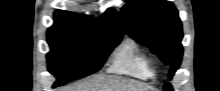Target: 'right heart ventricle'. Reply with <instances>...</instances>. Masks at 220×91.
<instances>
[{"instance_id":"obj_1","label":"right heart ventricle","mask_w":220,"mask_h":91,"mask_svg":"<svg viewBox=\"0 0 220 91\" xmlns=\"http://www.w3.org/2000/svg\"><path fill=\"white\" fill-rule=\"evenodd\" d=\"M109 70L141 80L155 75L151 57L133 40L125 41L112 55Z\"/></svg>"}]
</instances>
